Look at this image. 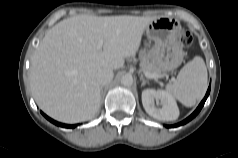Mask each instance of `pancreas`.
I'll use <instances>...</instances> for the list:
<instances>
[{
  "label": "pancreas",
  "mask_w": 238,
  "mask_h": 158,
  "mask_svg": "<svg viewBox=\"0 0 238 158\" xmlns=\"http://www.w3.org/2000/svg\"><path fill=\"white\" fill-rule=\"evenodd\" d=\"M141 68L144 73L148 74H154L159 76L162 73L155 62L148 60L144 52L142 53Z\"/></svg>",
  "instance_id": "obj_1"
}]
</instances>
